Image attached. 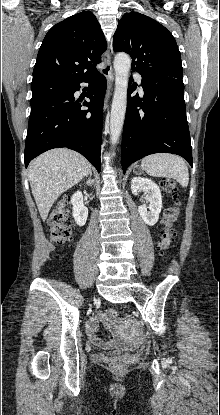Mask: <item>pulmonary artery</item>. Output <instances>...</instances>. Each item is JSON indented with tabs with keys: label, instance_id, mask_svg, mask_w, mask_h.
<instances>
[{
	"label": "pulmonary artery",
	"instance_id": "obj_1",
	"mask_svg": "<svg viewBox=\"0 0 220 415\" xmlns=\"http://www.w3.org/2000/svg\"><path fill=\"white\" fill-rule=\"evenodd\" d=\"M135 79L139 84H141V76L140 75H135ZM140 90H142V87H140Z\"/></svg>",
	"mask_w": 220,
	"mask_h": 415
}]
</instances>
